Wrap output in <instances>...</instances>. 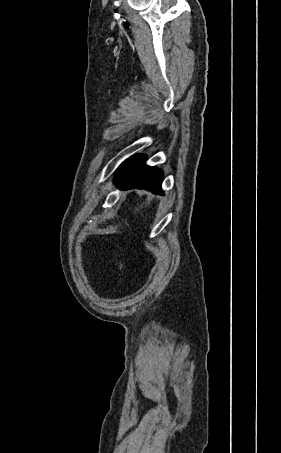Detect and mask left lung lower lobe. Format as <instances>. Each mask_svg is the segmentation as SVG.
I'll use <instances>...</instances> for the list:
<instances>
[{"label": "left lung lower lobe", "mask_w": 281, "mask_h": 453, "mask_svg": "<svg viewBox=\"0 0 281 453\" xmlns=\"http://www.w3.org/2000/svg\"><path fill=\"white\" fill-rule=\"evenodd\" d=\"M144 163V155L132 156L125 160L115 172L114 182L124 190L146 189L162 195V171L155 167L146 166Z\"/></svg>", "instance_id": "obj_1"}]
</instances>
